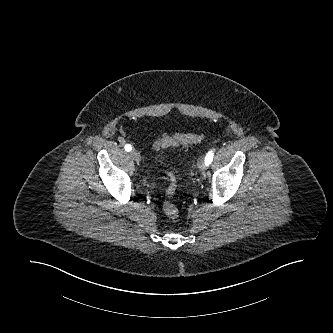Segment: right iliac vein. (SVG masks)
Listing matches in <instances>:
<instances>
[{"mask_svg": "<svg viewBox=\"0 0 333 333\" xmlns=\"http://www.w3.org/2000/svg\"><path fill=\"white\" fill-rule=\"evenodd\" d=\"M131 157L136 161L139 162L141 160V155L138 151L132 150L130 153Z\"/></svg>", "mask_w": 333, "mask_h": 333, "instance_id": "right-iliac-vein-1", "label": "right iliac vein"}]
</instances>
